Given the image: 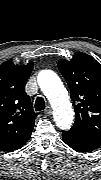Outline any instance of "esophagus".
I'll use <instances>...</instances> for the list:
<instances>
[{
    "label": "esophagus",
    "instance_id": "obj_1",
    "mask_svg": "<svg viewBox=\"0 0 101 180\" xmlns=\"http://www.w3.org/2000/svg\"><path fill=\"white\" fill-rule=\"evenodd\" d=\"M44 114L47 115V116L51 115V114H52L51 108H50V107H47V108L45 109V111H44Z\"/></svg>",
    "mask_w": 101,
    "mask_h": 180
}]
</instances>
